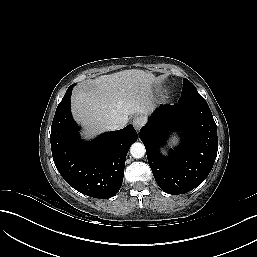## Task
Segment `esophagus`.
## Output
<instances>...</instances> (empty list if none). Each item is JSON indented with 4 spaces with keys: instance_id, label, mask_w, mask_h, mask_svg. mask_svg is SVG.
I'll return each instance as SVG.
<instances>
[{
    "instance_id": "obj_1",
    "label": "esophagus",
    "mask_w": 257,
    "mask_h": 257,
    "mask_svg": "<svg viewBox=\"0 0 257 257\" xmlns=\"http://www.w3.org/2000/svg\"><path fill=\"white\" fill-rule=\"evenodd\" d=\"M132 124L136 130H140L144 124V119L142 117H135L132 121Z\"/></svg>"
}]
</instances>
